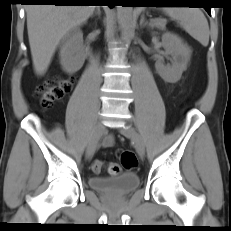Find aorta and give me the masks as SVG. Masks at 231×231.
<instances>
[{"label":"aorta","mask_w":231,"mask_h":231,"mask_svg":"<svg viewBox=\"0 0 231 231\" xmlns=\"http://www.w3.org/2000/svg\"><path fill=\"white\" fill-rule=\"evenodd\" d=\"M117 18L122 30L123 39L126 40L130 35L132 7L117 6Z\"/></svg>","instance_id":"762f6f07"}]
</instances>
